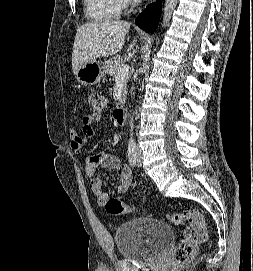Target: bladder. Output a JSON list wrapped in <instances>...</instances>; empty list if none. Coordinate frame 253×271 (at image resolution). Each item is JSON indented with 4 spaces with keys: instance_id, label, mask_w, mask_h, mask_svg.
I'll return each mask as SVG.
<instances>
[{
    "instance_id": "31cf9c89",
    "label": "bladder",
    "mask_w": 253,
    "mask_h": 271,
    "mask_svg": "<svg viewBox=\"0 0 253 271\" xmlns=\"http://www.w3.org/2000/svg\"><path fill=\"white\" fill-rule=\"evenodd\" d=\"M172 239V228L156 218L132 219L119 225L115 231L120 256L138 263L155 261Z\"/></svg>"
}]
</instances>
